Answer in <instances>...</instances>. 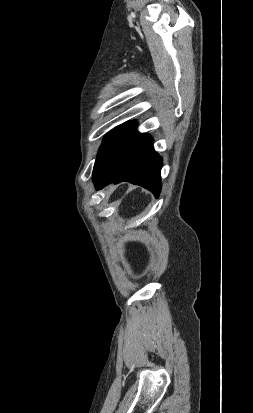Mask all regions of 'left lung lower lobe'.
<instances>
[{"label": "left lung lower lobe", "instance_id": "1", "mask_svg": "<svg viewBox=\"0 0 253 413\" xmlns=\"http://www.w3.org/2000/svg\"><path fill=\"white\" fill-rule=\"evenodd\" d=\"M161 167L162 158L153 148L152 137L134 130L93 175V182L96 189H100L110 182L129 181L147 188L158 197Z\"/></svg>", "mask_w": 253, "mask_h": 413}]
</instances>
